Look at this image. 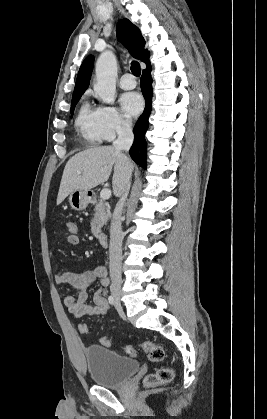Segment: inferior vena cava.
Segmentation results:
<instances>
[{
  "mask_svg": "<svg viewBox=\"0 0 267 419\" xmlns=\"http://www.w3.org/2000/svg\"><path fill=\"white\" fill-rule=\"evenodd\" d=\"M117 134L118 138L113 142V147L121 153L122 151L128 152L134 139L132 123L128 120H122L117 129ZM122 154L127 158L124 153ZM131 175L132 169H129L120 186V199L114 210L110 227L109 270L111 277V290L120 289L122 283L121 265L123 233L121 227V214L129 193Z\"/></svg>",
  "mask_w": 267,
  "mask_h": 419,
  "instance_id": "inferior-vena-cava-1",
  "label": "inferior vena cava"
}]
</instances>
